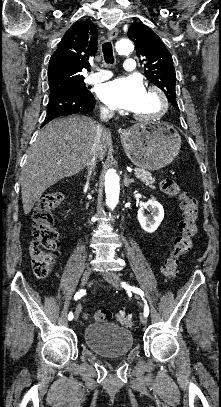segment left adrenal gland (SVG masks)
Segmentation results:
<instances>
[{
    "label": "left adrenal gland",
    "mask_w": 221,
    "mask_h": 407,
    "mask_svg": "<svg viewBox=\"0 0 221 407\" xmlns=\"http://www.w3.org/2000/svg\"><path fill=\"white\" fill-rule=\"evenodd\" d=\"M134 182H135L134 179L128 178V175H127V174L124 175V185H125L126 187H129V185L132 184V183H134Z\"/></svg>",
    "instance_id": "obj_1"
}]
</instances>
